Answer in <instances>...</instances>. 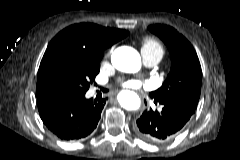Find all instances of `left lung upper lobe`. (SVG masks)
<instances>
[{
  "label": "left lung upper lobe",
  "mask_w": 240,
  "mask_h": 160,
  "mask_svg": "<svg viewBox=\"0 0 240 160\" xmlns=\"http://www.w3.org/2000/svg\"><path fill=\"white\" fill-rule=\"evenodd\" d=\"M148 29L166 44L171 55V70L167 79L150 96L158 102L173 101L196 109L201 92L202 71L193 46L170 26L151 25Z\"/></svg>",
  "instance_id": "obj_1"
}]
</instances>
